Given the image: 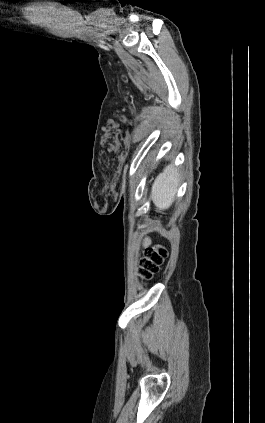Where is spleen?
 I'll return each mask as SVG.
<instances>
[{
    "label": "spleen",
    "mask_w": 265,
    "mask_h": 423,
    "mask_svg": "<svg viewBox=\"0 0 265 423\" xmlns=\"http://www.w3.org/2000/svg\"><path fill=\"white\" fill-rule=\"evenodd\" d=\"M179 184V172L172 166H167L157 176L152 185V200L155 206L161 210L170 207Z\"/></svg>",
    "instance_id": "spleen-1"
}]
</instances>
